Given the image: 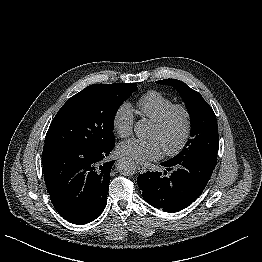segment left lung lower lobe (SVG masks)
I'll return each mask as SVG.
<instances>
[{
    "label": "left lung lower lobe",
    "instance_id": "1",
    "mask_svg": "<svg viewBox=\"0 0 262 262\" xmlns=\"http://www.w3.org/2000/svg\"><path fill=\"white\" fill-rule=\"evenodd\" d=\"M172 171L140 174L137 182L142 197L150 205L165 212H177L194 202L206 187L216 165V159L192 158L167 160L161 163Z\"/></svg>",
    "mask_w": 262,
    "mask_h": 262
}]
</instances>
